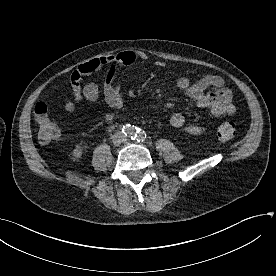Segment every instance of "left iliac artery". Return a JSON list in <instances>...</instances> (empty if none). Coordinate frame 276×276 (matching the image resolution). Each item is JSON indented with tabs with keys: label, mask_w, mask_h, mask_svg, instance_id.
<instances>
[{
	"label": "left iliac artery",
	"mask_w": 276,
	"mask_h": 276,
	"mask_svg": "<svg viewBox=\"0 0 276 276\" xmlns=\"http://www.w3.org/2000/svg\"><path fill=\"white\" fill-rule=\"evenodd\" d=\"M136 137H137V141H143L146 138V134L144 131L138 128Z\"/></svg>",
	"instance_id": "44dca946"
}]
</instances>
